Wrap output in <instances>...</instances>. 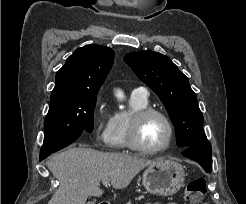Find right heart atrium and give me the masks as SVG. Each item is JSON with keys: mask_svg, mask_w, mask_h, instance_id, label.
Masks as SVG:
<instances>
[{"mask_svg": "<svg viewBox=\"0 0 246 204\" xmlns=\"http://www.w3.org/2000/svg\"><path fill=\"white\" fill-rule=\"evenodd\" d=\"M111 122L112 115L105 108L101 97H98L95 104L93 122L94 138L98 144H107Z\"/></svg>", "mask_w": 246, "mask_h": 204, "instance_id": "obj_1", "label": "right heart atrium"}]
</instances>
